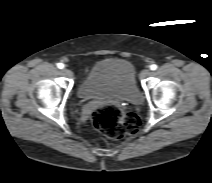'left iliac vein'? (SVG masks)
I'll return each mask as SVG.
<instances>
[{"label": "left iliac vein", "instance_id": "left-iliac-vein-1", "mask_svg": "<svg viewBox=\"0 0 212 183\" xmlns=\"http://www.w3.org/2000/svg\"><path fill=\"white\" fill-rule=\"evenodd\" d=\"M150 74H151V71L149 70V69H144V70H142V72H141V74H140V76H141V78H147V77H149L150 76Z\"/></svg>", "mask_w": 212, "mask_h": 183}]
</instances>
